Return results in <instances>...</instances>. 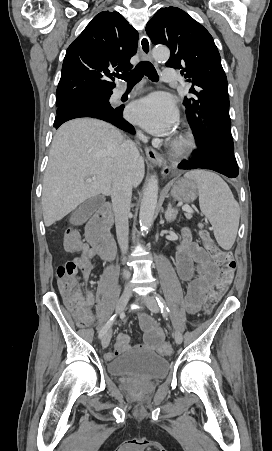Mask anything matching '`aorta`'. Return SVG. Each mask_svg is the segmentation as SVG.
I'll return each mask as SVG.
<instances>
[{
    "instance_id": "762f6f07",
    "label": "aorta",
    "mask_w": 272,
    "mask_h": 451,
    "mask_svg": "<svg viewBox=\"0 0 272 451\" xmlns=\"http://www.w3.org/2000/svg\"><path fill=\"white\" fill-rule=\"evenodd\" d=\"M152 56L157 62L168 60L170 52L168 48H153ZM158 200V180L157 176H151L145 188L140 206V224L143 229H148L154 220V214Z\"/></svg>"
}]
</instances>
